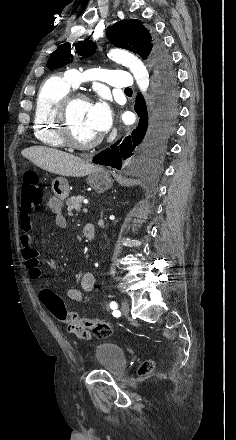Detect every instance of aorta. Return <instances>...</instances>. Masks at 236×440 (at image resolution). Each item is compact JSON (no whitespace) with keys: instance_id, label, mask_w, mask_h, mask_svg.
<instances>
[{"instance_id":"762f6f07","label":"aorta","mask_w":236,"mask_h":440,"mask_svg":"<svg viewBox=\"0 0 236 440\" xmlns=\"http://www.w3.org/2000/svg\"><path fill=\"white\" fill-rule=\"evenodd\" d=\"M108 57L113 61L120 63L131 71L141 92H146L149 87V74L140 59L132 53L122 49H112Z\"/></svg>"}]
</instances>
